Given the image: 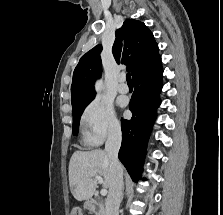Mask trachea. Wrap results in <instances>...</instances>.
<instances>
[{"mask_svg":"<svg viewBox=\"0 0 223 215\" xmlns=\"http://www.w3.org/2000/svg\"><path fill=\"white\" fill-rule=\"evenodd\" d=\"M126 79H127V83H133L132 80H131V75H130V73H127V75H126Z\"/></svg>","mask_w":223,"mask_h":215,"instance_id":"3493384b","label":"trachea"}]
</instances>
